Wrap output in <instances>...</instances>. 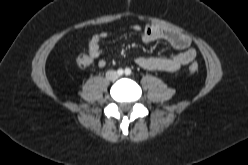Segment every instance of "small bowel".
Instances as JSON below:
<instances>
[{
    "label": "small bowel",
    "instance_id": "c3829d8e",
    "mask_svg": "<svg viewBox=\"0 0 248 165\" xmlns=\"http://www.w3.org/2000/svg\"><path fill=\"white\" fill-rule=\"evenodd\" d=\"M132 31L142 32L141 39L143 42L164 41L171 47L178 50V53L171 57H156V56H140L135 59V63L149 71H159L174 73L181 68L192 63L196 57V51L191 46L190 38L182 33L156 25L149 24L144 28L138 24L132 26ZM108 31H101L94 34L88 41L87 53L92 60L98 59L103 49L101 42L108 38ZM106 58H100L97 61V66L103 68L107 65Z\"/></svg>",
    "mask_w": 248,
    "mask_h": 165
}]
</instances>
